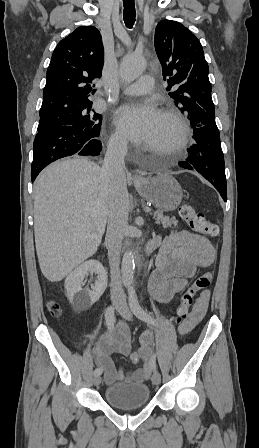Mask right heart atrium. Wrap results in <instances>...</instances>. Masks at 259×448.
Masks as SVG:
<instances>
[{
	"instance_id": "right-heart-atrium-1",
	"label": "right heart atrium",
	"mask_w": 259,
	"mask_h": 448,
	"mask_svg": "<svg viewBox=\"0 0 259 448\" xmlns=\"http://www.w3.org/2000/svg\"><path fill=\"white\" fill-rule=\"evenodd\" d=\"M110 145L115 150H125L128 147V142L118 131H116L111 136Z\"/></svg>"
}]
</instances>
